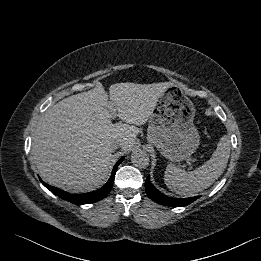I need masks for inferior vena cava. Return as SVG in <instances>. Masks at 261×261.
Returning <instances> with one entry per match:
<instances>
[{
  "instance_id": "1",
  "label": "inferior vena cava",
  "mask_w": 261,
  "mask_h": 261,
  "mask_svg": "<svg viewBox=\"0 0 261 261\" xmlns=\"http://www.w3.org/2000/svg\"><path fill=\"white\" fill-rule=\"evenodd\" d=\"M121 146V142L120 141H116V142H114L113 144H112V146H111V148L113 149V150H116L118 147H120Z\"/></svg>"
}]
</instances>
